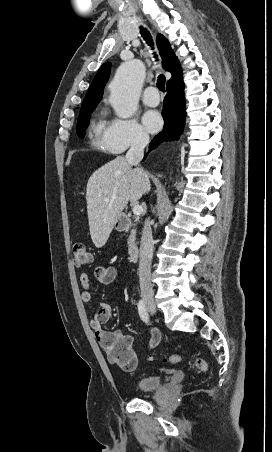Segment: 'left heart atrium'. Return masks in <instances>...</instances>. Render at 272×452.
<instances>
[{"mask_svg": "<svg viewBox=\"0 0 272 452\" xmlns=\"http://www.w3.org/2000/svg\"><path fill=\"white\" fill-rule=\"evenodd\" d=\"M142 120L145 128L151 133L159 131L163 124L160 114L155 110L146 111Z\"/></svg>", "mask_w": 272, "mask_h": 452, "instance_id": "39dd6f15", "label": "left heart atrium"}]
</instances>
